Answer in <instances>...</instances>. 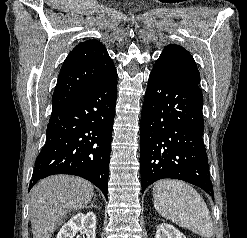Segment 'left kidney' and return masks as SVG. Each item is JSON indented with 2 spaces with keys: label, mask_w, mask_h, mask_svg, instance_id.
Wrapping results in <instances>:
<instances>
[{
  "label": "left kidney",
  "mask_w": 247,
  "mask_h": 238,
  "mask_svg": "<svg viewBox=\"0 0 247 238\" xmlns=\"http://www.w3.org/2000/svg\"><path fill=\"white\" fill-rule=\"evenodd\" d=\"M156 238H186L178 229L163 223L157 227Z\"/></svg>",
  "instance_id": "5707ae66"
}]
</instances>
